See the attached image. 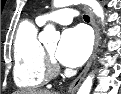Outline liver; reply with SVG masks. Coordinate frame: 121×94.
<instances>
[{
  "label": "liver",
  "mask_w": 121,
  "mask_h": 94,
  "mask_svg": "<svg viewBox=\"0 0 121 94\" xmlns=\"http://www.w3.org/2000/svg\"><path fill=\"white\" fill-rule=\"evenodd\" d=\"M14 94H59L56 91H49V90H23L18 91Z\"/></svg>",
  "instance_id": "6515ba94"
}]
</instances>
